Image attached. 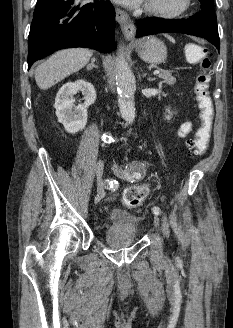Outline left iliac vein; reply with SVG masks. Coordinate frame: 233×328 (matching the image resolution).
Returning <instances> with one entry per match:
<instances>
[{
	"mask_svg": "<svg viewBox=\"0 0 233 328\" xmlns=\"http://www.w3.org/2000/svg\"><path fill=\"white\" fill-rule=\"evenodd\" d=\"M113 172L114 174L118 177V178H121V179H130V173L129 171H126V170H123L119 165L117 164H114L113 165ZM154 225L156 227H159L160 225V219L159 217L156 215L154 217Z\"/></svg>",
	"mask_w": 233,
	"mask_h": 328,
	"instance_id": "4c4485c4",
	"label": "left iliac vein"
}]
</instances>
